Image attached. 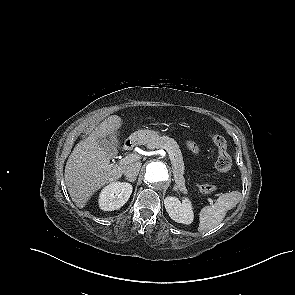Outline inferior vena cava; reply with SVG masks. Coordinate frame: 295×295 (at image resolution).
Returning a JSON list of instances; mask_svg holds the SVG:
<instances>
[{
	"instance_id": "1",
	"label": "inferior vena cava",
	"mask_w": 295,
	"mask_h": 295,
	"mask_svg": "<svg viewBox=\"0 0 295 295\" xmlns=\"http://www.w3.org/2000/svg\"><path fill=\"white\" fill-rule=\"evenodd\" d=\"M141 164L138 163H130L129 165H127L124 169V175L127 178H136L139 170H140Z\"/></svg>"
}]
</instances>
